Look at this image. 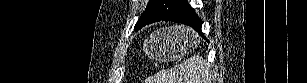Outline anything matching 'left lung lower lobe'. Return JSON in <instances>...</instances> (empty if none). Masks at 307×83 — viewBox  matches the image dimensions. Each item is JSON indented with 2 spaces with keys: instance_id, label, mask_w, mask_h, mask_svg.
I'll use <instances>...</instances> for the list:
<instances>
[{
  "instance_id": "0a47b994",
  "label": "left lung lower lobe",
  "mask_w": 307,
  "mask_h": 83,
  "mask_svg": "<svg viewBox=\"0 0 307 83\" xmlns=\"http://www.w3.org/2000/svg\"><path fill=\"white\" fill-rule=\"evenodd\" d=\"M160 21L182 23L192 27L196 32L202 33V21L199 19L194 9L188 4L186 0H177L170 12ZM139 29L135 28L136 31Z\"/></svg>"
}]
</instances>
